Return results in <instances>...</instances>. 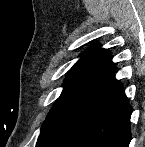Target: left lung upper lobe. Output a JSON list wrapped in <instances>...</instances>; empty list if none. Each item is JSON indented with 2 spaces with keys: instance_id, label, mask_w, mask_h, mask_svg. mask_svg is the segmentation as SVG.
Segmentation results:
<instances>
[{
  "instance_id": "5c2ea615",
  "label": "left lung upper lobe",
  "mask_w": 145,
  "mask_h": 147,
  "mask_svg": "<svg viewBox=\"0 0 145 147\" xmlns=\"http://www.w3.org/2000/svg\"><path fill=\"white\" fill-rule=\"evenodd\" d=\"M108 58L107 50L93 45L70 69L64 89L41 127L36 147H44L62 135Z\"/></svg>"
}]
</instances>
